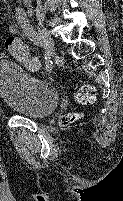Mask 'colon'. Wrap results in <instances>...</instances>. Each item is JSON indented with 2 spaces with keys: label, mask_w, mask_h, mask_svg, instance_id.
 Wrapping results in <instances>:
<instances>
[{
  "label": "colon",
  "mask_w": 123,
  "mask_h": 201,
  "mask_svg": "<svg viewBox=\"0 0 123 201\" xmlns=\"http://www.w3.org/2000/svg\"><path fill=\"white\" fill-rule=\"evenodd\" d=\"M5 48L14 58L26 63L30 69H35L38 66L37 60L30 56L28 48L23 45L19 38L13 36L8 37L5 41ZM96 98V89L91 84H84L78 90L77 100L83 105L93 104ZM75 120L76 118L73 115H67L62 118V123L68 125Z\"/></svg>",
  "instance_id": "obj_1"
}]
</instances>
